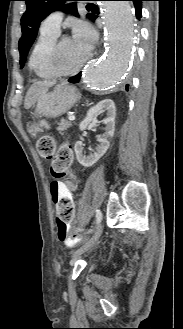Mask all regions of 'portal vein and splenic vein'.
Returning a JSON list of instances; mask_svg holds the SVG:
<instances>
[{
    "label": "portal vein and splenic vein",
    "mask_w": 183,
    "mask_h": 329,
    "mask_svg": "<svg viewBox=\"0 0 183 329\" xmlns=\"http://www.w3.org/2000/svg\"><path fill=\"white\" fill-rule=\"evenodd\" d=\"M68 119H69L70 121H73V120H75V116H74V115H69Z\"/></svg>",
    "instance_id": "obj_1"
}]
</instances>
